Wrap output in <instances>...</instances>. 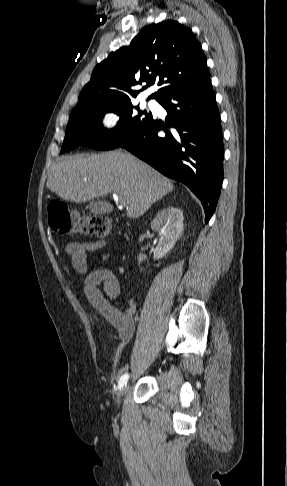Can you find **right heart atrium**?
Returning <instances> with one entry per match:
<instances>
[{"instance_id":"right-heart-atrium-1","label":"right heart atrium","mask_w":287,"mask_h":486,"mask_svg":"<svg viewBox=\"0 0 287 486\" xmlns=\"http://www.w3.org/2000/svg\"><path fill=\"white\" fill-rule=\"evenodd\" d=\"M120 122L119 114L114 110H107L102 113L99 119L100 126L107 131H114Z\"/></svg>"}]
</instances>
